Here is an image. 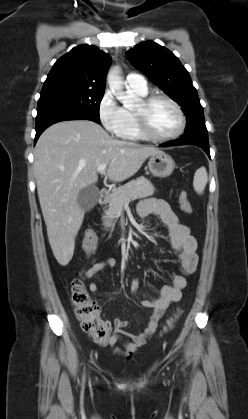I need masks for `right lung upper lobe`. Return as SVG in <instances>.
I'll list each match as a JSON object with an SVG mask.
<instances>
[{
	"label": "right lung upper lobe",
	"mask_w": 248,
	"mask_h": 419,
	"mask_svg": "<svg viewBox=\"0 0 248 419\" xmlns=\"http://www.w3.org/2000/svg\"><path fill=\"white\" fill-rule=\"evenodd\" d=\"M111 58L93 45H80L56 61L43 88L80 87L104 91Z\"/></svg>",
	"instance_id": "cb5924a9"
}]
</instances>
